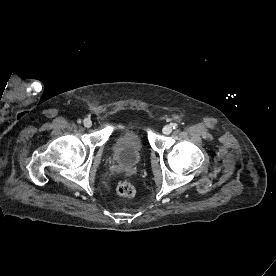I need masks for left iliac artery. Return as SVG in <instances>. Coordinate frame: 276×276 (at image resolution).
<instances>
[{
	"instance_id": "44dca946",
	"label": "left iliac artery",
	"mask_w": 276,
	"mask_h": 276,
	"mask_svg": "<svg viewBox=\"0 0 276 276\" xmlns=\"http://www.w3.org/2000/svg\"><path fill=\"white\" fill-rule=\"evenodd\" d=\"M173 129H177L178 125L176 123L172 124Z\"/></svg>"
}]
</instances>
